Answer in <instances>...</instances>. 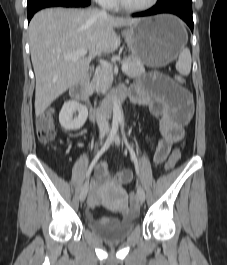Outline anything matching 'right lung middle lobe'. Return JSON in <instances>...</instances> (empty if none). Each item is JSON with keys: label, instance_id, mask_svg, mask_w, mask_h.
Instances as JSON below:
<instances>
[{"label": "right lung middle lobe", "instance_id": "1", "mask_svg": "<svg viewBox=\"0 0 227 265\" xmlns=\"http://www.w3.org/2000/svg\"><path fill=\"white\" fill-rule=\"evenodd\" d=\"M37 1L38 0H28L27 5L33 4V3L37 2Z\"/></svg>", "mask_w": 227, "mask_h": 265}]
</instances>
